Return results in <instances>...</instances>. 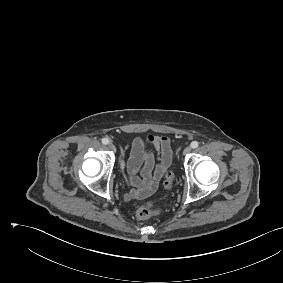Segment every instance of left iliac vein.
Segmentation results:
<instances>
[{"label": "left iliac vein", "mask_w": 283, "mask_h": 283, "mask_svg": "<svg viewBox=\"0 0 283 283\" xmlns=\"http://www.w3.org/2000/svg\"><path fill=\"white\" fill-rule=\"evenodd\" d=\"M191 152V148L190 147H186L184 150H183V154H188Z\"/></svg>", "instance_id": "4c4485c4"}]
</instances>
